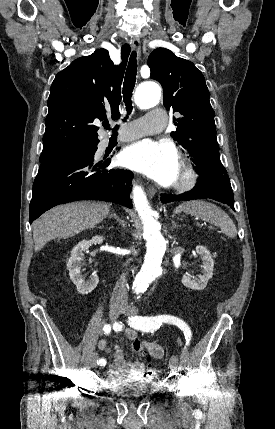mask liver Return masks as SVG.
<instances>
[{"instance_id": "1", "label": "liver", "mask_w": 275, "mask_h": 429, "mask_svg": "<svg viewBox=\"0 0 275 429\" xmlns=\"http://www.w3.org/2000/svg\"><path fill=\"white\" fill-rule=\"evenodd\" d=\"M104 202H75L57 206L33 223L35 251H40L51 239L69 237L93 228L109 214Z\"/></svg>"}]
</instances>
